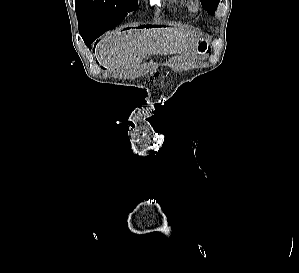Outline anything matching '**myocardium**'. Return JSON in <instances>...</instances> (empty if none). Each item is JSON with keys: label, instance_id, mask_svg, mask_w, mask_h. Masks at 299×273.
Listing matches in <instances>:
<instances>
[{"label": "myocardium", "instance_id": "1", "mask_svg": "<svg viewBox=\"0 0 299 273\" xmlns=\"http://www.w3.org/2000/svg\"><path fill=\"white\" fill-rule=\"evenodd\" d=\"M192 2V8L197 10L200 7L199 1L198 0H191Z\"/></svg>", "mask_w": 299, "mask_h": 273}]
</instances>
